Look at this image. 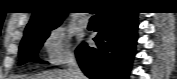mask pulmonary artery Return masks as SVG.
Returning <instances> with one entry per match:
<instances>
[{"label": "pulmonary artery", "instance_id": "e3ab8cb5", "mask_svg": "<svg viewBox=\"0 0 177 79\" xmlns=\"http://www.w3.org/2000/svg\"><path fill=\"white\" fill-rule=\"evenodd\" d=\"M88 23H89V18L86 16L80 18V20H79V24L81 27H87Z\"/></svg>", "mask_w": 177, "mask_h": 79}]
</instances>
